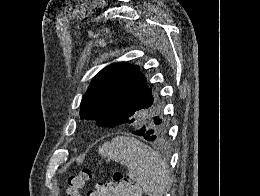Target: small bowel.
<instances>
[{"label":"small bowel","mask_w":260,"mask_h":196,"mask_svg":"<svg viewBox=\"0 0 260 196\" xmlns=\"http://www.w3.org/2000/svg\"><path fill=\"white\" fill-rule=\"evenodd\" d=\"M110 187V184H104L102 182H98L94 185V187L87 193V196H109V192H105V187Z\"/></svg>","instance_id":"1"}]
</instances>
